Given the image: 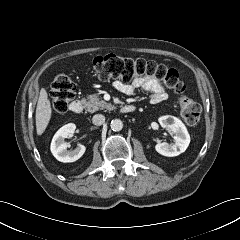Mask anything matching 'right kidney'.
Wrapping results in <instances>:
<instances>
[{
  "mask_svg": "<svg viewBox=\"0 0 240 240\" xmlns=\"http://www.w3.org/2000/svg\"><path fill=\"white\" fill-rule=\"evenodd\" d=\"M76 129L74 123H69L61 127L54 135L51 142V152L53 156L60 162H74L78 160L85 152L84 145H78V147L72 151L67 150L68 144L65 143V138L73 136Z\"/></svg>",
  "mask_w": 240,
  "mask_h": 240,
  "instance_id": "ca27d5eb",
  "label": "right kidney"
}]
</instances>
